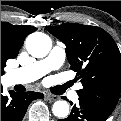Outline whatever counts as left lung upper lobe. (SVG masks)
Returning a JSON list of instances; mask_svg holds the SVG:
<instances>
[{"mask_svg": "<svg viewBox=\"0 0 121 121\" xmlns=\"http://www.w3.org/2000/svg\"><path fill=\"white\" fill-rule=\"evenodd\" d=\"M46 29L66 45L71 69L81 78L80 99L112 113L121 91V53L103 29L71 23Z\"/></svg>", "mask_w": 121, "mask_h": 121, "instance_id": "obj_1", "label": "left lung upper lobe"}]
</instances>
